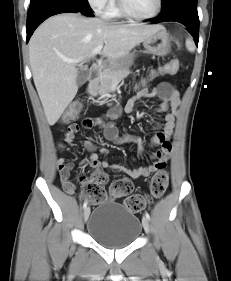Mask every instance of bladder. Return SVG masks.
Wrapping results in <instances>:
<instances>
[{
    "label": "bladder",
    "instance_id": "obj_1",
    "mask_svg": "<svg viewBox=\"0 0 231 281\" xmlns=\"http://www.w3.org/2000/svg\"><path fill=\"white\" fill-rule=\"evenodd\" d=\"M87 220L89 236L108 249L129 246L140 236L142 231L138 216L116 202L100 203Z\"/></svg>",
    "mask_w": 231,
    "mask_h": 281
}]
</instances>
